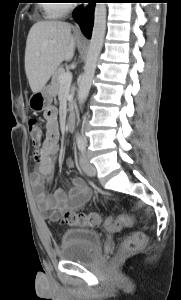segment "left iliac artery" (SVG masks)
I'll use <instances>...</instances> for the list:
<instances>
[{"mask_svg":"<svg viewBox=\"0 0 181 300\" xmlns=\"http://www.w3.org/2000/svg\"><path fill=\"white\" fill-rule=\"evenodd\" d=\"M77 144H78L79 150H80L82 153H84V152L86 151V143H85L84 139L81 138V137H79V138L77 139Z\"/></svg>","mask_w":181,"mask_h":300,"instance_id":"1","label":"left iliac artery"}]
</instances>
